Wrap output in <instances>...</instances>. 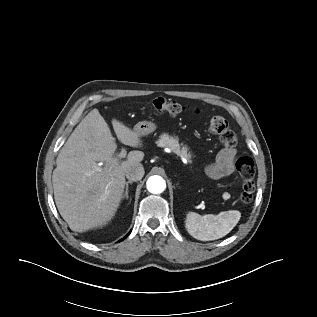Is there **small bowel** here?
<instances>
[{
  "mask_svg": "<svg viewBox=\"0 0 317 317\" xmlns=\"http://www.w3.org/2000/svg\"><path fill=\"white\" fill-rule=\"evenodd\" d=\"M237 152L234 148L222 149L214 163L207 167V173L211 178L219 179L231 175L234 172V161Z\"/></svg>",
  "mask_w": 317,
  "mask_h": 317,
  "instance_id": "obj_1",
  "label": "small bowel"
}]
</instances>
